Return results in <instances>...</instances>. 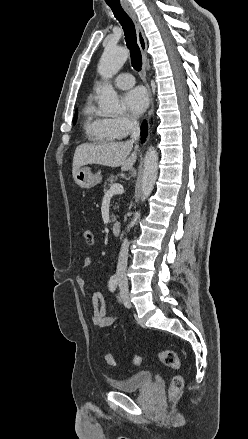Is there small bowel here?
<instances>
[{
	"label": "small bowel",
	"mask_w": 248,
	"mask_h": 439,
	"mask_svg": "<svg viewBox=\"0 0 248 439\" xmlns=\"http://www.w3.org/2000/svg\"><path fill=\"white\" fill-rule=\"evenodd\" d=\"M91 263H92L91 258L89 257L85 258L83 262V268L89 267ZM75 281L80 291L84 293L85 280L83 276L80 274L77 275ZM92 304H93L92 323L94 326L99 328H105L111 326L115 322L116 318L106 313V305L102 293L95 292L92 295Z\"/></svg>",
	"instance_id": "small-bowel-1"
}]
</instances>
